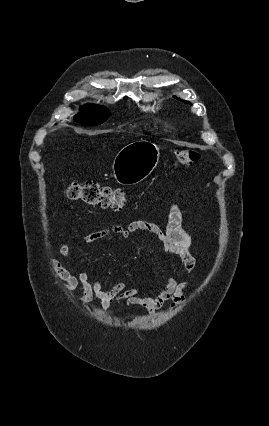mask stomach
<instances>
[{
	"label": "stomach",
	"instance_id": "1",
	"mask_svg": "<svg viewBox=\"0 0 269 426\" xmlns=\"http://www.w3.org/2000/svg\"><path fill=\"white\" fill-rule=\"evenodd\" d=\"M159 147L147 140L134 141L115 156L112 171L121 185H135L146 179L159 162Z\"/></svg>",
	"mask_w": 269,
	"mask_h": 426
}]
</instances>
